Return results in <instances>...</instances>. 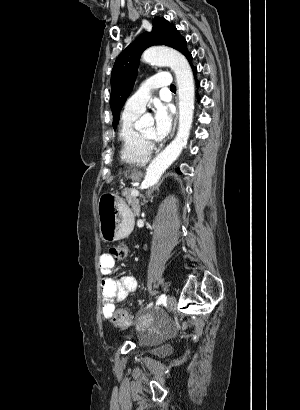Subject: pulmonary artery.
Segmentation results:
<instances>
[{"instance_id": "1", "label": "pulmonary artery", "mask_w": 300, "mask_h": 410, "mask_svg": "<svg viewBox=\"0 0 300 410\" xmlns=\"http://www.w3.org/2000/svg\"><path fill=\"white\" fill-rule=\"evenodd\" d=\"M171 84L169 73L162 72L155 74L143 82L141 89L132 95L125 104V111L141 113L151 96V91L156 88L168 87Z\"/></svg>"}]
</instances>
